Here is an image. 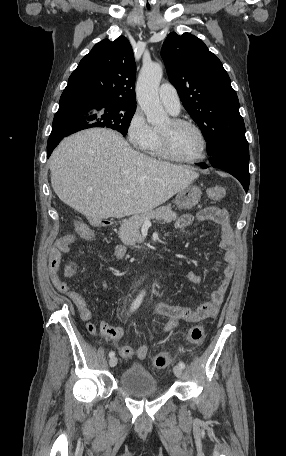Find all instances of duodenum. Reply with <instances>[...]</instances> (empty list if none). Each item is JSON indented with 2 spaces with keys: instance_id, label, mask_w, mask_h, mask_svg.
<instances>
[{
  "instance_id": "410a0bca",
  "label": "duodenum",
  "mask_w": 286,
  "mask_h": 456,
  "mask_svg": "<svg viewBox=\"0 0 286 456\" xmlns=\"http://www.w3.org/2000/svg\"><path fill=\"white\" fill-rule=\"evenodd\" d=\"M97 221L99 222V224L101 226H108L109 222H106V219H103V218H98ZM149 247L148 246H145V247H142V251H145V250H148Z\"/></svg>"
}]
</instances>
